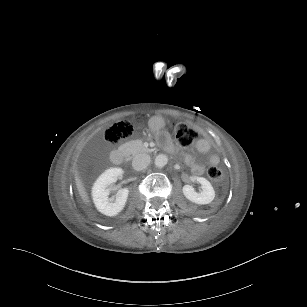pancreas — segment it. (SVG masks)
Listing matches in <instances>:
<instances>
[{
    "label": "pancreas",
    "instance_id": "1",
    "mask_svg": "<svg viewBox=\"0 0 307 307\" xmlns=\"http://www.w3.org/2000/svg\"><path fill=\"white\" fill-rule=\"evenodd\" d=\"M140 152H147V149L143 147L142 143L140 145Z\"/></svg>",
    "mask_w": 307,
    "mask_h": 307
}]
</instances>
